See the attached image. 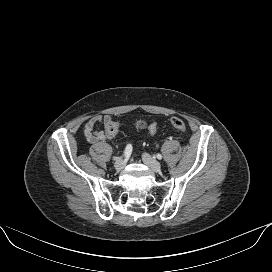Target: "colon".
I'll return each instance as SVG.
<instances>
[{
    "mask_svg": "<svg viewBox=\"0 0 272 272\" xmlns=\"http://www.w3.org/2000/svg\"><path fill=\"white\" fill-rule=\"evenodd\" d=\"M170 124L173 129L184 132L186 130V124L185 122L178 118L173 117L170 120ZM135 126L139 129H147L152 135H155L158 130V124L155 121L152 122H145V121H137L135 123ZM119 130V124L117 122H113L106 130V135L108 138H112L116 135V133Z\"/></svg>",
    "mask_w": 272,
    "mask_h": 272,
    "instance_id": "5ec220e1",
    "label": "colon"
}]
</instances>
